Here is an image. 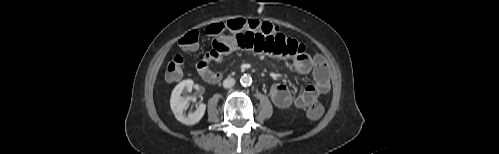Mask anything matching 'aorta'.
I'll return each instance as SVG.
<instances>
[{"label":"aorta","instance_id":"aorta-1","mask_svg":"<svg viewBox=\"0 0 499 154\" xmlns=\"http://www.w3.org/2000/svg\"><path fill=\"white\" fill-rule=\"evenodd\" d=\"M240 83L244 87L250 86L252 84L251 76L247 74L243 75L240 79Z\"/></svg>","mask_w":499,"mask_h":154}]
</instances>
